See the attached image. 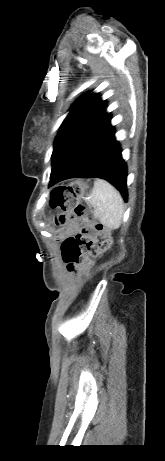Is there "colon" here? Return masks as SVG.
Listing matches in <instances>:
<instances>
[{
	"mask_svg": "<svg viewBox=\"0 0 165 461\" xmlns=\"http://www.w3.org/2000/svg\"><path fill=\"white\" fill-rule=\"evenodd\" d=\"M85 184L80 181L72 182L69 185L59 186L53 189L50 197V206L58 208L61 213L56 218V223L63 226L73 219H80L90 224L95 233V239L87 242V251L96 249H107L111 244L109 230L101 222H93L86 208L77 204V198L82 193Z\"/></svg>",
	"mask_w": 165,
	"mask_h": 461,
	"instance_id": "colon-1",
	"label": "colon"
}]
</instances>
